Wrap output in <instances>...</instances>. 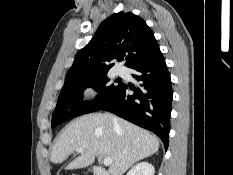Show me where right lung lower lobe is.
Here are the masks:
<instances>
[{
  "instance_id": "obj_1",
  "label": "right lung lower lobe",
  "mask_w": 233,
  "mask_h": 175,
  "mask_svg": "<svg viewBox=\"0 0 233 175\" xmlns=\"http://www.w3.org/2000/svg\"><path fill=\"white\" fill-rule=\"evenodd\" d=\"M138 72L133 75L141 81L140 88H131L122 84L115 95L99 109L112 112L140 127L154 132L168 147L170 130L172 83L164 57L161 52L154 57L132 67Z\"/></svg>"
}]
</instances>
